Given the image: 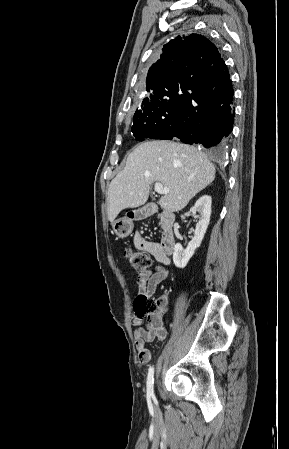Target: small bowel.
<instances>
[{"label": "small bowel", "mask_w": 289, "mask_h": 449, "mask_svg": "<svg viewBox=\"0 0 289 449\" xmlns=\"http://www.w3.org/2000/svg\"><path fill=\"white\" fill-rule=\"evenodd\" d=\"M133 241L134 245L139 250L151 254L156 261L163 266L169 264V258L161 250L159 243L146 240L139 233L135 234ZM163 266H157L145 273H139L137 277V297L144 295L151 298L153 296L157 286L168 277V271ZM162 300L164 307L166 305V299ZM131 322L134 326L138 327L135 331V345L138 351L139 360L142 363H147L150 360V350L147 347V344L156 339H164L166 336V331L163 328L162 320L160 316L151 318L148 317L147 323L144 324L142 315H140L135 309Z\"/></svg>", "instance_id": "c3829d8e"}]
</instances>
